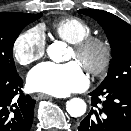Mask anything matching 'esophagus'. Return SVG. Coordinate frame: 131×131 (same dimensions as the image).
<instances>
[{
  "mask_svg": "<svg viewBox=\"0 0 131 131\" xmlns=\"http://www.w3.org/2000/svg\"><path fill=\"white\" fill-rule=\"evenodd\" d=\"M36 98L38 100H42V99H51L52 97L47 94L38 93V94H36Z\"/></svg>",
  "mask_w": 131,
  "mask_h": 131,
  "instance_id": "1",
  "label": "esophagus"
}]
</instances>
